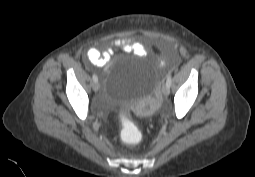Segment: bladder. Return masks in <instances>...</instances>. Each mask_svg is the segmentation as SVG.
Here are the masks:
<instances>
[{
	"mask_svg": "<svg viewBox=\"0 0 255 177\" xmlns=\"http://www.w3.org/2000/svg\"><path fill=\"white\" fill-rule=\"evenodd\" d=\"M159 62L143 56L121 62L105 80V95L115 104L147 111V99L155 96Z\"/></svg>",
	"mask_w": 255,
	"mask_h": 177,
	"instance_id": "bladder-1",
	"label": "bladder"
}]
</instances>
